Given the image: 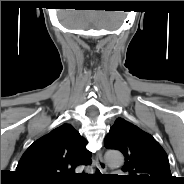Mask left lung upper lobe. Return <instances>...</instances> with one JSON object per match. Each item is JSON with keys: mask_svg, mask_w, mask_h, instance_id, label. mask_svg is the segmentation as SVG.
<instances>
[{"mask_svg": "<svg viewBox=\"0 0 184 184\" xmlns=\"http://www.w3.org/2000/svg\"><path fill=\"white\" fill-rule=\"evenodd\" d=\"M104 145L109 149L121 151L125 156L122 167L129 172L125 178L132 184H171L166 152L148 133L134 124L117 118L105 137Z\"/></svg>", "mask_w": 184, "mask_h": 184, "instance_id": "1", "label": "left lung upper lobe"}]
</instances>
